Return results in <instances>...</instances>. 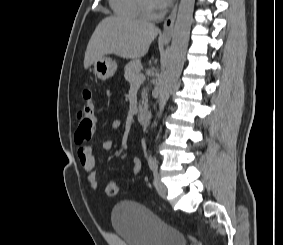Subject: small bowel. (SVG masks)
<instances>
[{
  "mask_svg": "<svg viewBox=\"0 0 283 245\" xmlns=\"http://www.w3.org/2000/svg\"><path fill=\"white\" fill-rule=\"evenodd\" d=\"M122 127V122L119 119L114 120L110 125L111 131H116ZM113 147V142L109 139H106L102 142V148L104 151H110ZM94 145L82 146L78 149V159L82 166L83 171L87 174V179L90 187L93 190L98 189V180L97 175L94 170L95 160H94ZM132 169L131 172L134 175H138L141 171V161L137 157L132 159Z\"/></svg>",
  "mask_w": 283,
  "mask_h": 245,
  "instance_id": "1",
  "label": "small bowel"
}]
</instances>
